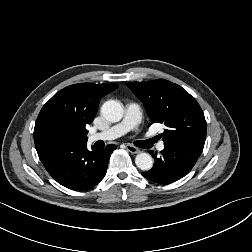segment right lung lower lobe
I'll return each instance as SVG.
<instances>
[{
    "mask_svg": "<svg viewBox=\"0 0 252 252\" xmlns=\"http://www.w3.org/2000/svg\"><path fill=\"white\" fill-rule=\"evenodd\" d=\"M87 142L63 141L37 151L48 173L62 186L72 190H85L102 180L116 146L106 148L92 146Z\"/></svg>",
    "mask_w": 252,
    "mask_h": 252,
    "instance_id": "obj_1",
    "label": "right lung lower lobe"
}]
</instances>
